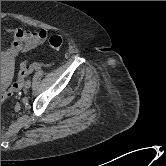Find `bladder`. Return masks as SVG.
<instances>
[{"instance_id":"31cf9c89","label":"bladder","mask_w":166,"mask_h":166,"mask_svg":"<svg viewBox=\"0 0 166 166\" xmlns=\"http://www.w3.org/2000/svg\"><path fill=\"white\" fill-rule=\"evenodd\" d=\"M4 83L2 82V80H1V90L3 89V87H4Z\"/></svg>"}]
</instances>
